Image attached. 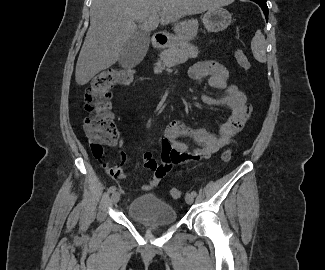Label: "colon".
Instances as JSON below:
<instances>
[{
    "mask_svg": "<svg viewBox=\"0 0 325 270\" xmlns=\"http://www.w3.org/2000/svg\"><path fill=\"white\" fill-rule=\"evenodd\" d=\"M234 56L243 69H250V62L242 50H236ZM132 81V71L111 68L96 75L85 91V109L90 115L85 119L84 129L90 149L96 158H101L103 146L112 144L117 137L113 114L110 111L111 89L115 85L128 86ZM231 158L232 150L227 149L222 153L221 161L226 163ZM170 196L179 199L181 191L178 188H171Z\"/></svg>",
    "mask_w": 325,
    "mask_h": 270,
    "instance_id": "colon-1",
    "label": "colon"
}]
</instances>
